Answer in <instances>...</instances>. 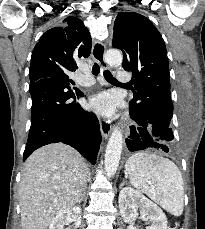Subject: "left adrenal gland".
<instances>
[{
	"label": "left adrenal gland",
	"instance_id": "a2214340",
	"mask_svg": "<svg viewBox=\"0 0 205 229\" xmlns=\"http://www.w3.org/2000/svg\"><path fill=\"white\" fill-rule=\"evenodd\" d=\"M126 184L125 179H123L122 183L120 184V188H122Z\"/></svg>",
	"mask_w": 205,
	"mask_h": 229
}]
</instances>
